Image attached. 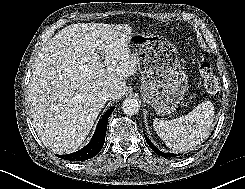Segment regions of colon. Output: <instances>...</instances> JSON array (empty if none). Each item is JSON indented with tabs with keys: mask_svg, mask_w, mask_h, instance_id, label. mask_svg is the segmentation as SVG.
<instances>
[{
	"mask_svg": "<svg viewBox=\"0 0 245 189\" xmlns=\"http://www.w3.org/2000/svg\"><path fill=\"white\" fill-rule=\"evenodd\" d=\"M195 63L203 78L205 88L211 91L217 90L219 81L216 76L213 75L211 65L204 60H196Z\"/></svg>",
	"mask_w": 245,
	"mask_h": 189,
	"instance_id": "obj_1",
	"label": "colon"
}]
</instances>
